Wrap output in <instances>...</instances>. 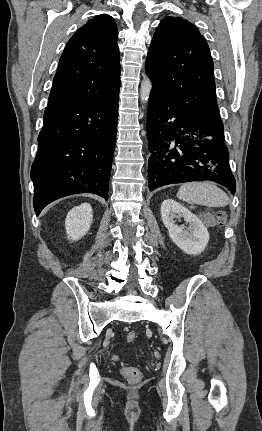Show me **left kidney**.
<instances>
[{"instance_id":"obj_1","label":"left kidney","mask_w":262,"mask_h":431,"mask_svg":"<svg viewBox=\"0 0 262 431\" xmlns=\"http://www.w3.org/2000/svg\"><path fill=\"white\" fill-rule=\"evenodd\" d=\"M161 218L172 241L186 254L198 255L209 241V233L202 221L188 209L174 200L161 204ZM184 218L189 226L176 224L175 219Z\"/></svg>"}]
</instances>
